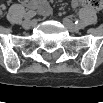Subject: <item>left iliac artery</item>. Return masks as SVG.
Here are the masks:
<instances>
[{
  "label": "left iliac artery",
  "mask_w": 103,
  "mask_h": 103,
  "mask_svg": "<svg viewBox=\"0 0 103 103\" xmlns=\"http://www.w3.org/2000/svg\"><path fill=\"white\" fill-rule=\"evenodd\" d=\"M75 24L78 26V27H84L85 26V23L79 21V20H76L75 21Z\"/></svg>",
  "instance_id": "44dca946"
}]
</instances>
